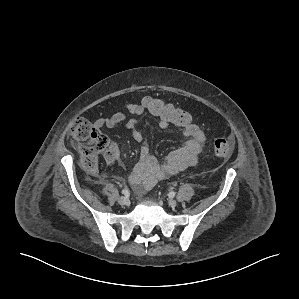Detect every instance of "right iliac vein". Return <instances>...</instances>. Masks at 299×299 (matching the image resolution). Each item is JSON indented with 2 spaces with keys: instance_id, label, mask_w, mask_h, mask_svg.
<instances>
[{
  "instance_id": "obj_1",
  "label": "right iliac vein",
  "mask_w": 299,
  "mask_h": 299,
  "mask_svg": "<svg viewBox=\"0 0 299 299\" xmlns=\"http://www.w3.org/2000/svg\"><path fill=\"white\" fill-rule=\"evenodd\" d=\"M118 203L120 205H128L129 199L125 196H121V197L118 198Z\"/></svg>"
}]
</instances>
